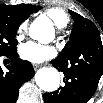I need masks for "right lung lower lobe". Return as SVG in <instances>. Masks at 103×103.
Here are the masks:
<instances>
[{
	"label": "right lung lower lobe",
	"instance_id": "right-lung-lower-lobe-1",
	"mask_svg": "<svg viewBox=\"0 0 103 103\" xmlns=\"http://www.w3.org/2000/svg\"><path fill=\"white\" fill-rule=\"evenodd\" d=\"M6 57L11 59V66L6 73L0 68V103H14L20 86L33 77L34 69L30 62L19 59L17 52Z\"/></svg>",
	"mask_w": 103,
	"mask_h": 103
}]
</instances>
